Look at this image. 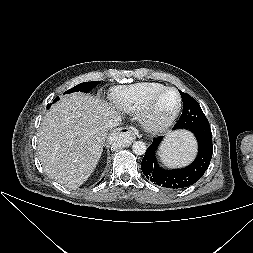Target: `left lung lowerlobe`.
<instances>
[{
	"label": "left lung lower lobe",
	"instance_id": "0a47b994",
	"mask_svg": "<svg viewBox=\"0 0 253 253\" xmlns=\"http://www.w3.org/2000/svg\"><path fill=\"white\" fill-rule=\"evenodd\" d=\"M177 128L175 125L174 129ZM192 132L198 141V155L191 165L181 169L165 170L158 165L156 151L163 138L153 139V143L147 148L141 163L142 172L148 180L162 187L179 189L196 183L203 176L213 153L211 129L207 126Z\"/></svg>",
	"mask_w": 253,
	"mask_h": 253
}]
</instances>
